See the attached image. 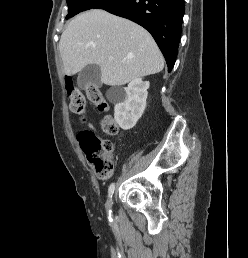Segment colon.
Here are the masks:
<instances>
[{
  "label": "colon",
  "mask_w": 248,
  "mask_h": 258,
  "mask_svg": "<svg viewBox=\"0 0 248 258\" xmlns=\"http://www.w3.org/2000/svg\"><path fill=\"white\" fill-rule=\"evenodd\" d=\"M70 100V108L76 114H84L86 111V101L83 93L73 85L67 88ZM89 100L99 109L106 110L108 103L103 97L100 89L95 85L87 87ZM102 129L109 135H117L119 126L112 117H106L101 122ZM77 140L87 159L100 179H110L114 174V153L115 145L100 138L93 130L85 129L77 134Z\"/></svg>",
  "instance_id": "5ec220e1"
}]
</instances>
